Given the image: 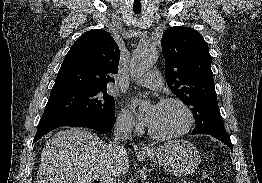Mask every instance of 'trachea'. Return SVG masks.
<instances>
[{"mask_svg":"<svg viewBox=\"0 0 262 183\" xmlns=\"http://www.w3.org/2000/svg\"><path fill=\"white\" fill-rule=\"evenodd\" d=\"M135 14H139L140 12H134Z\"/></svg>","mask_w":262,"mask_h":183,"instance_id":"trachea-1","label":"trachea"}]
</instances>
